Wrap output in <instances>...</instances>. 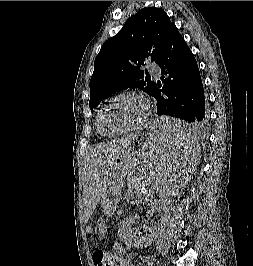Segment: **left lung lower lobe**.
I'll list each match as a JSON object with an SVG mask.
<instances>
[{
    "instance_id": "obj_1",
    "label": "left lung lower lobe",
    "mask_w": 253,
    "mask_h": 266,
    "mask_svg": "<svg viewBox=\"0 0 253 266\" xmlns=\"http://www.w3.org/2000/svg\"><path fill=\"white\" fill-rule=\"evenodd\" d=\"M163 85L155 83L153 97L157 114L172 116L177 123L154 131L172 141H192L204 131L208 116L197 62L177 27L173 29L157 62Z\"/></svg>"
}]
</instances>
